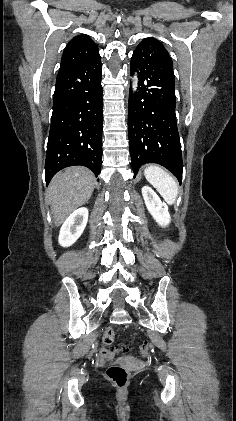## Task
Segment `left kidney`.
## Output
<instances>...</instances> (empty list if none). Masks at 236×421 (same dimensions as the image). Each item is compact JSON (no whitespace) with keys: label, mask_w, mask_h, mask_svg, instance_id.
<instances>
[{"label":"left kidney","mask_w":236,"mask_h":421,"mask_svg":"<svg viewBox=\"0 0 236 421\" xmlns=\"http://www.w3.org/2000/svg\"><path fill=\"white\" fill-rule=\"evenodd\" d=\"M142 194L148 211L151 213L156 223H158L160 227H166V225H169L171 217L168 213V208L165 202L160 200L158 194H156L150 186H143Z\"/></svg>","instance_id":"left-kidney-1"}]
</instances>
